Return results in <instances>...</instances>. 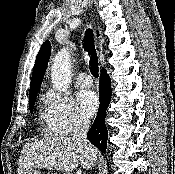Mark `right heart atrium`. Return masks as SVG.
Segmentation results:
<instances>
[{"mask_svg": "<svg viewBox=\"0 0 175 174\" xmlns=\"http://www.w3.org/2000/svg\"><path fill=\"white\" fill-rule=\"evenodd\" d=\"M48 130L55 135H70L89 125L72 97L55 90L44 95Z\"/></svg>", "mask_w": 175, "mask_h": 174, "instance_id": "d8ad5b80", "label": "right heart atrium"}]
</instances>
